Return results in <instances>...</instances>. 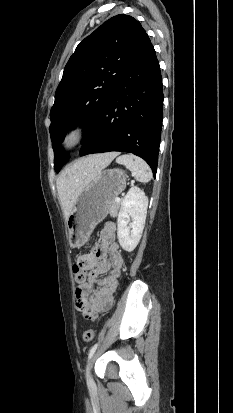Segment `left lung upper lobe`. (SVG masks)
Listing matches in <instances>:
<instances>
[{
  "label": "left lung upper lobe",
  "mask_w": 233,
  "mask_h": 413,
  "mask_svg": "<svg viewBox=\"0 0 233 413\" xmlns=\"http://www.w3.org/2000/svg\"><path fill=\"white\" fill-rule=\"evenodd\" d=\"M145 35L139 21L121 14L107 20L77 46L65 66L50 111L57 173L68 159L59 147L67 131L82 122L87 124L88 136Z\"/></svg>",
  "instance_id": "1"
}]
</instances>
